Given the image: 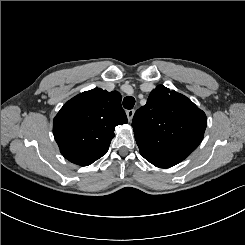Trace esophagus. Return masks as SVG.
<instances>
[{
    "label": "esophagus",
    "mask_w": 245,
    "mask_h": 245,
    "mask_svg": "<svg viewBox=\"0 0 245 245\" xmlns=\"http://www.w3.org/2000/svg\"><path fill=\"white\" fill-rule=\"evenodd\" d=\"M134 112L135 110L134 109H129L126 111V115H127V118H128V121L131 122L133 116H134Z\"/></svg>",
    "instance_id": "esophagus-1"
}]
</instances>
